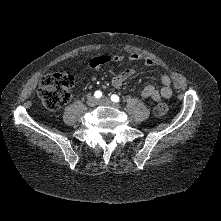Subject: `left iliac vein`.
<instances>
[{"mask_svg":"<svg viewBox=\"0 0 221 221\" xmlns=\"http://www.w3.org/2000/svg\"><path fill=\"white\" fill-rule=\"evenodd\" d=\"M98 104L105 105V106H111L114 108H120L119 104L112 102L109 98H102V99L98 100Z\"/></svg>","mask_w":221,"mask_h":221,"instance_id":"4c4485c4","label":"left iliac vein"}]
</instances>
